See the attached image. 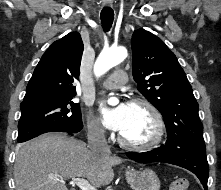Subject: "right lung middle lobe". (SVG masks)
<instances>
[{
  "mask_svg": "<svg viewBox=\"0 0 221 190\" xmlns=\"http://www.w3.org/2000/svg\"><path fill=\"white\" fill-rule=\"evenodd\" d=\"M73 97L41 101L20 106L18 142L47 132L76 133L83 128L80 106Z\"/></svg>",
  "mask_w": 221,
  "mask_h": 190,
  "instance_id": "obj_1",
  "label": "right lung middle lobe"
}]
</instances>
